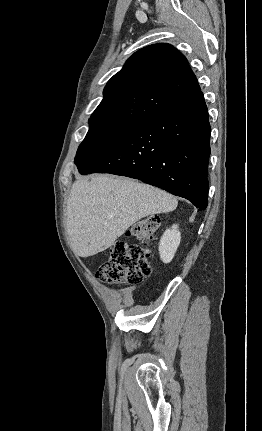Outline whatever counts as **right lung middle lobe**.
<instances>
[{"label": "right lung middle lobe", "instance_id": "1", "mask_svg": "<svg viewBox=\"0 0 262 431\" xmlns=\"http://www.w3.org/2000/svg\"><path fill=\"white\" fill-rule=\"evenodd\" d=\"M136 123L111 122L89 125L75 157L79 172L86 170L122 138Z\"/></svg>", "mask_w": 262, "mask_h": 431}]
</instances>
